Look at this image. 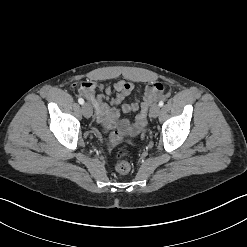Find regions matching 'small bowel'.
Segmentation results:
<instances>
[{
  "label": "small bowel",
  "instance_id": "c3829d8e",
  "mask_svg": "<svg viewBox=\"0 0 247 247\" xmlns=\"http://www.w3.org/2000/svg\"><path fill=\"white\" fill-rule=\"evenodd\" d=\"M163 91L160 83L148 84L143 91L125 80H120L113 85L98 81H84L79 86V93L83 95L95 110L98 122L106 128L116 129L113 141L119 140L122 135L135 136L145 126L147 111L151 103ZM135 94L132 103L123 100ZM121 105L118 108V105ZM138 111L133 122L121 120V112L129 113Z\"/></svg>",
  "mask_w": 247,
  "mask_h": 247
}]
</instances>
